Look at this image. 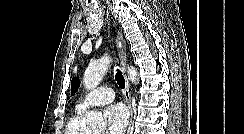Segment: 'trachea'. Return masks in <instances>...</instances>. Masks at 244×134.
Listing matches in <instances>:
<instances>
[{
  "instance_id": "3493384b",
  "label": "trachea",
  "mask_w": 244,
  "mask_h": 134,
  "mask_svg": "<svg viewBox=\"0 0 244 134\" xmlns=\"http://www.w3.org/2000/svg\"><path fill=\"white\" fill-rule=\"evenodd\" d=\"M115 79L120 88H122V89L125 88V79H124L121 71L117 70Z\"/></svg>"
}]
</instances>
